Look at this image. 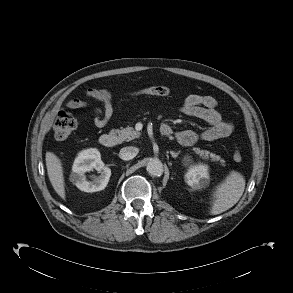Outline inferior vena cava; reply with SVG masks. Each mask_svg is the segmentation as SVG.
Returning a JSON list of instances; mask_svg holds the SVG:
<instances>
[{
	"label": "inferior vena cava",
	"mask_w": 293,
	"mask_h": 293,
	"mask_svg": "<svg viewBox=\"0 0 293 293\" xmlns=\"http://www.w3.org/2000/svg\"><path fill=\"white\" fill-rule=\"evenodd\" d=\"M138 152L139 150L135 147H124L120 150L119 156L122 160H131L138 154Z\"/></svg>",
	"instance_id": "1"
}]
</instances>
